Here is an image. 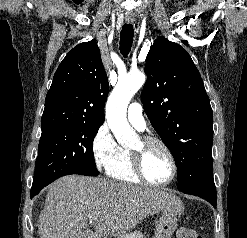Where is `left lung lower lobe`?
I'll list each match as a JSON object with an SVG mask.
<instances>
[{
    "label": "left lung lower lobe",
    "mask_w": 247,
    "mask_h": 238,
    "mask_svg": "<svg viewBox=\"0 0 247 238\" xmlns=\"http://www.w3.org/2000/svg\"><path fill=\"white\" fill-rule=\"evenodd\" d=\"M184 193L199 196L216 206V188L214 180L202 181Z\"/></svg>",
    "instance_id": "obj_1"
}]
</instances>
